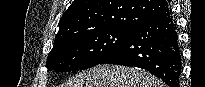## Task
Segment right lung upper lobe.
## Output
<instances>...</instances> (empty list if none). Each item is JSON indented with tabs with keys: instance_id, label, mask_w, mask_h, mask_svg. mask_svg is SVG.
<instances>
[{
	"instance_id": "cb5924a9",
	"label": "right lung upper lobe",
	"mask_w": 205,
	"mask_h": 87,
	"mask_svg": "<svg viewBox=\"0 0 205 87\" xmlns=\"http://www.w3.org/2000/svg\"><path fill=\"white\" fill-rule=\"evenodd\" d=\"M168 10L166 0H74L61 18L55 42L100 29L134 31Z\"/></svg>"
}]
</instances>
